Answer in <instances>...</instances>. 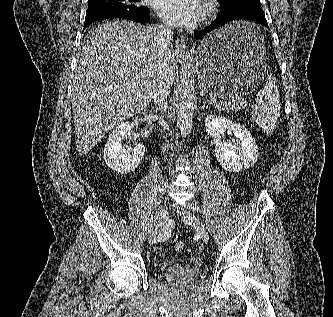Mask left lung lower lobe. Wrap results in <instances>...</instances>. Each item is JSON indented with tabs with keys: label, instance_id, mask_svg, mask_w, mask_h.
Returning <instances> with one entry per match:
<instances>
[{
	"label": "left lung lower lobe",
	"instance_id": "obj_1",
	"mask_svg": "<svg viewBox=\"0 0 333 317\" xmlns=\"http://www.w3.org/2000/svg\"><path fill=\"white\" fill-rule=\"evenodd\" d=\"M238 20H251L269 28L265 18V14L261 6H251V7L238 8L226 12L220 11L216 19L206 28L195 32L194 37L196 39H199L204 34L216 28L222 27L230 22Z\"/></svg>",
	"mask_w": 333,
	"mask_h": 317
}]
</instances>
